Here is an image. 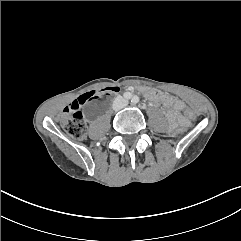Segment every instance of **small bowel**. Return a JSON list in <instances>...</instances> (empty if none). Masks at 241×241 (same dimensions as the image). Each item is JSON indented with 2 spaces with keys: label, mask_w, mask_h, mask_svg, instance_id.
Listing matches in <instances>:
<instances>
[{
  "label": "small bowel",
  "mask_w": 241,
  "mask_h": 241,
  "mask_svg": "<svg viewBox=\"0 0 241 241\" xmlns=\"http://www.w3.org/2000/svg\"><path fill=\"white\" fill-rule=\"evenodd\" d=\"M119 90L112 91L115 93ZM150 97L160 100L165 106L169 108L167 117L173 125H185L186 121L180 116L182 109L184 108V102L176 97L169 96L159 92H149Z\"/></svg>",
  "instance_id": "1"
}]
</instances>
